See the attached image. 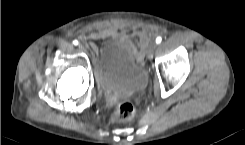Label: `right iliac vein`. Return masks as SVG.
Here are the masks:
<instances>
[{
    "mask_svg": "<svg viewBox=\"0 0 245 145\" xmlns=\"http://www.w3.org/2000/svg\"><path fill=\"white\" fill-rule=\"evenodd\" d=\"M78 48H79L80 50H84V49H85V47H84L82 44H79V45H78Z\"/></svg>",
    "mask_w": 245,
    "mask_h": 145,
    "instance_id": "right-iliac-vein-1",
    "label": "right iliac vein"
}]
</instances>
